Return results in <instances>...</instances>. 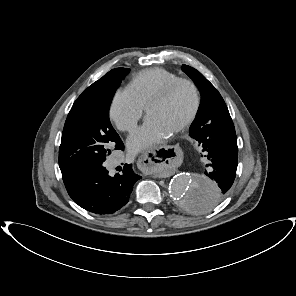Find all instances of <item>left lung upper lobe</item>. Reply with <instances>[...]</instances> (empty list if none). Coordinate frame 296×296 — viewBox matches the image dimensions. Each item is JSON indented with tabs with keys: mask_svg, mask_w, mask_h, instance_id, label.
I'll list each match as a JSON object with an SVG mask.
<instances>
[{
	"mask_svg": "<svg viewBox=\"0 0 296 296\" xmlns=\"http://www.w3.org/2000/svg\"><path fill=\"white\" fill-rule=\"evenodd\" d=\"M182 70L194 81L201 93V103L196 118L189 129L190 137L199 139L201 128L226 108L225 102L215 87L196 69L182 65ZM209 203L206 201L205 205Z\"/></svg>",
	"mask_w": 296,
	"mask_h": 296,
	"instance_id": "left-lung-upper-lobe-1",
	"label": "left lung upper lobe"
}]
</instances>
